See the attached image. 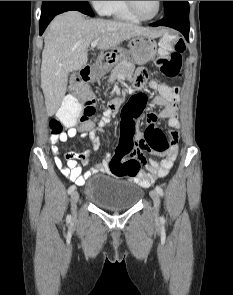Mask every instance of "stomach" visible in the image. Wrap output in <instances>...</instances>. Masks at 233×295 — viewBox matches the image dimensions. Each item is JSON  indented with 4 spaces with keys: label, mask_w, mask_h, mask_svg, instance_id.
Wrapping results in <instances>:
<instances>
[{
    "label": "stomach",
    "mask_w": 233,
    "mask_h": 295,
    "mask_svg": "<svg viewBox=\"0 0 233 295\" xmlns=\"http://www.w3.org/2000/svg\"><path fill=\"white\" fill-rule=\"evenodd\" d=\"M128 47V53L131 60L138 65H143L155 60L157 54V43L153 37L143 35L135 36L129 41ZM123 58H125L124 51L119 50L117 53H115V61L122 60ZM108 67L109 65H105L103 66V69ZM98 77L99 75L94 76L96 79Z\"/></svg>",
    "instance_id": "1"
}]
</instances>
